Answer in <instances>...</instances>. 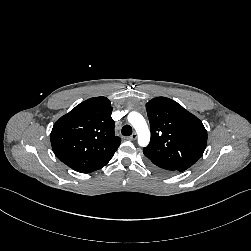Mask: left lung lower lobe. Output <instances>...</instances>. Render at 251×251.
Returning <instances> with one entry per match:
<instances>
[{"instance_id": "0a47b994", "label": "left lung lower lobe", "mask_w": 251, "mask_h": 251, "mask_svg": "<svg viewBox=\"0 0 251 251\" xmlns=\"http://www.w3.org/2000/svg\"><path fill=\"white\" fill-rule=\"evenodd\" d=\"M151 167L157 171H160V172H163V173H170V172H174V170H171L169 168H162V167H158V166H155V165H152L150 164Z\"/></svg>"}]
</instances>
